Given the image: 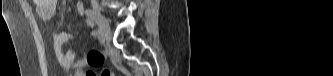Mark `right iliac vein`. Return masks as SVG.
<instances>
[{
  "instance_id": "obj_1",
  "label": "right iliac vein",
  "mask_w": 333,
  "mask_h": 76,
  "mask_svg": "<svg viewBox=\"0 0 333 76\" xmlns=\"http://www.w3.org/2000/svg\"><path fill=\"white\" fill-rule=\"evenodd\" d=\"M94 10L97 14V19H98V23H99L102 35L106 39H110L111 38V29H110L107 19L102 15V13L100 12V10L97 6L94 7Z\"/></svg>"
}]
</instances>
